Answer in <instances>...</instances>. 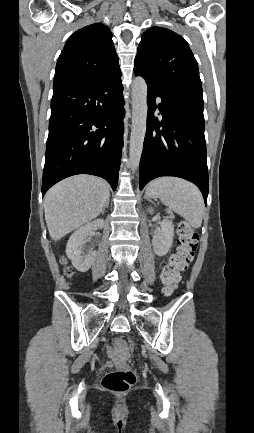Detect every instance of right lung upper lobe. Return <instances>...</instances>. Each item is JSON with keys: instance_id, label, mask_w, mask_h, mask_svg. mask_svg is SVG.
Segmentation results:
<instances>
[{"instance_id": "cb5924a9", "label": "right lung upper lobe", "mask_w": 254, "mask_h": 433, "mask_svg": "<svg viewBox=\"0 0 254 433\" xmlns=\"http://www.w3.org/2000/svg\"><path fill=\"white\" fill-rule=\"evenodd\" d=\"M118 75L121 71L111 31L96 23L77 30L66 42L57 61L53 88Z\"/></svg>"}]
</instances>
